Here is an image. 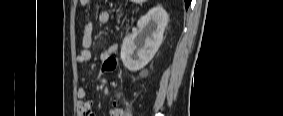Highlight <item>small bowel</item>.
I'll list each match as a JSON object with an SVG mask.
<instances>
[{
    "label": "small bowel",
    "instance_id": "small-bowel-1",
    "mask_svg": "<svg viewBox=\"0 0 283 116\" xmlns=\"http://www.w3.org/2000/svg\"><path fill=\"white\" fill-rule=\"evenodd\" d=\"M82 5H89V0H81ZM98 21L101 24H106L109 21V13L107 11H100L98 13ZM91 43H92V25L86 24L82 39H81V52L77 56V62L79 64L87 63L92 58V51H91ZM117 44H113L106 48L100 55L101 60L103 61L102 65V72H110L115 68V59L110 57L112 53L117 50ZM78 96L82 101L79 103V112L81 115H94L92 111V107L94 102L92 100H85L86 91L84 88H80L78 90ZM126 113L125 111L118 106V102L114 100L112 102V109L110 111L111 116H124Z\"/></svg>",
    "mask_w": 283,
    "mask_h": 116
}]
</instances>
